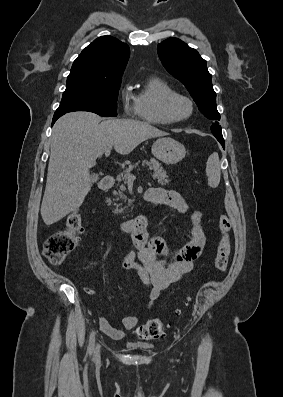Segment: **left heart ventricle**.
<instances>
[{"mask_svg":"<svg viewBox=\"0 0 283 397\" xmlns=\"http://www.w3.org/2000/svg\"><path fill=\"white\" fill-rule=\"evenodd\" d=\"M189 111L188 105L184 101H176L174 104V112L178 116H183Z\"/></svg>","mask_w":283,"mask_h":397,"instance_id":"1","label":"left heart ventricle"}]
</instances>
